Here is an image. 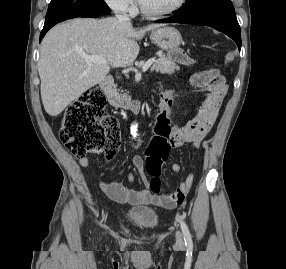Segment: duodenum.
<instances>
[{
  "label": "duodenum",
  "instance_id": "410a0bca",
  "mask_svg": "<svg viewBox=\"0 0 286 269\" xmlns=\"http://www.w3.org/2000/svg\"><path fill=\"white\" fill-rule=\"evenodd\" d=\"M100 86L106 96L108 104L113 108L130 109L133 112H138L140 104L137 102H131L127 98L120 96L115 88L114 80L110 76H105Z\"/></svg>",
  "mask_w": 286,
  "mask_h": 269
}]
</instances>
